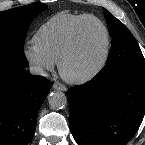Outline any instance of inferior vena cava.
Segmentation results:
<instances>
[{
	"instance_id": "inferior-vena-cava-1",
	"label": "inferior vena cava",
	"mask_w": 145,
	"mask_h": 145,
	"mask_svg": "<svg viewBox=\"0 0 145 145\" xmlns=\"http://www.w3.org/2000/svg\"><path fill=\"white\" fill-rule=\"evenodd\" d=\"M30 73L33 74V75H41V76L45 75L44 69L41 66H38V65L30 66Z\"/></svg>"
}]
</instances>
